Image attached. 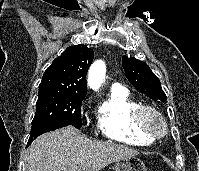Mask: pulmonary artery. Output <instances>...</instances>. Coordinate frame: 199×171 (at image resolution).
Listing matches in <instances>:
<instances>
[{"mask_svg":"<svg viewBox=\"0 0 199 171\" xmlns=\"http://www.w3.org/2000/svg\"><path fill=\"white\" fill-rule=\"evenodd\" d=\"M120 88H124V87H122L118 83H113L112 86H111V89H120Z\"/></svg>","mask_w":199,"mask_h":171,"instance_id":"1","label":"pulmonary artery"}]
</instances>
